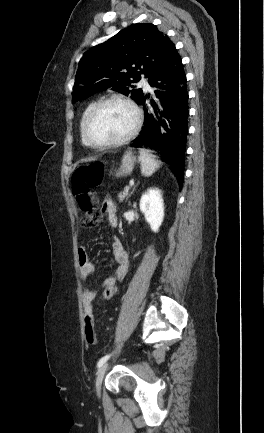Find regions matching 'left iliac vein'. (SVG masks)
<instances>
[{"label":"left iliac vein","instance_id":"obj_1","mask_svg":"<svg viewBox=\"0 0 264 433\" xmlns=\"http://www.w3.org/2000/svg\"><path fill=\"white\" fill-rule=\"evenodd\" d=\"M107 367H108V363H104L98 371V374L96 377V383H95L97 394H100L102 381H103L105 372L107 370Z\"/></svg>","mask_w":264,"mask_h":433}]
</instances>
